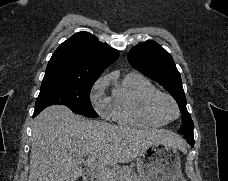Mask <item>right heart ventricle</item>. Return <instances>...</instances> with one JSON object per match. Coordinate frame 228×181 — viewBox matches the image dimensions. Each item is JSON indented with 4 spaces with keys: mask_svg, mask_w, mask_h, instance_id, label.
I'll return each mask as SVG.
<instances>
[{
    "mask_svg": "<svg viewBox=\"0 0 228 181\" xmlns=\"http://www.w3.org/2000/svg\"><path fill=\"white\" fill-rule=\"evenodd\" d=\"M112 86L111 117L119 123L139 126H159L161 120L146 115L143 102L155 88L144 76L134 73H121L118 70L109 73L103 80V86Z\"/></svg>",
    "mask_w": 228,
    "mask_h": 181,
    "instance_id": "e07e8e85",
    "label": "right heart ventricle"
}]
</instances>
